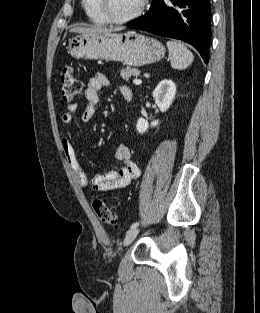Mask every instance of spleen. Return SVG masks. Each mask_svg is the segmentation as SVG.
Returning <instances> with one entry per match:
<instances>
[{
  "label": "spleen",
  "mask_w": 260,
  "mask_h": 313,
  "mask_svg": "<svg viewBox=\"0 0 260 313\" xmlns=\"http://www.w3.org/2000/svg\"><path fill=\"white\" fill-rule=\"evenodd\" d=\"M167 48L172 68L182 70L192 64L194 56L183 43L178 41H168Z\"/></svg>",
  "instance_id": "spleen-1"
}]
</instances>
